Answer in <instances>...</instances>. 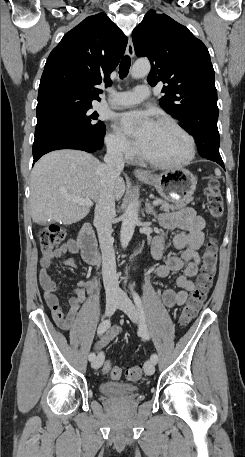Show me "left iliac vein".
<instances>
[{"instance_id": "left-iliac-vein-1", "label": "left iliac vein", "mask_w": 245, "mask_h": 457, "mask_svg": "<svg viewBox=\"0 0 245 457\" xmlns=\"http://www.w3.org/2000/svg\"><path fill=\"white\" fill-rule=\"evenodd\" d=\"M117 308L123 310L134 323H139V313L133 302L128 298L126 294H121L119 296V302ZM145 374L151 376L155 372L154 363L150 360L146 361L144 364Z\"/></svg>"}]
</instances>
